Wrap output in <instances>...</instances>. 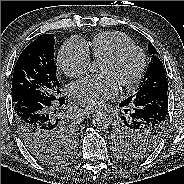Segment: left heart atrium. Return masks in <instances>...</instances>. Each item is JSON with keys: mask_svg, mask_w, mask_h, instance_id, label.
<instances>
[{"mask_svg": "<svg viewBox=\"0 0 184 184\" xmlns=\"http://www.w3.org/2000/svg\"><path fill=\"white\" fill-rule=\"evenodd\" d=\"M118 92V83L110 75L87 76L70 86L73 99L80 105L94 109L114 97Z\"/></svg>", "mask_w": 184, "mask_h": 184, "instance_id": "obj_1", "label": "left heart atrium"}]
</instances>
